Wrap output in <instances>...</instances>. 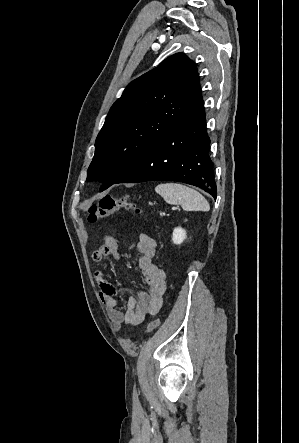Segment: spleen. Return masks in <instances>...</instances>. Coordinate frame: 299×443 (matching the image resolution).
I'll return each instance as SVG.
<instances>
[{
    "label": "spleen",
    "instance_id": "3e777b00",
    "mask_svg": "<svg viewBox=\"0 0 299 443\" xmlns=\"http://www.w3.org/2000/svg\"><path fill=\"white\" fill-rule=\"evenodd\" d=\"M155 192L168 204H180L186 211H204L210 210L208 201L198 191L188 186L178 183L159 184Z\"/></svg>",
    "mask_w": 299,
    "mask_h": 443
}]
</instances>
